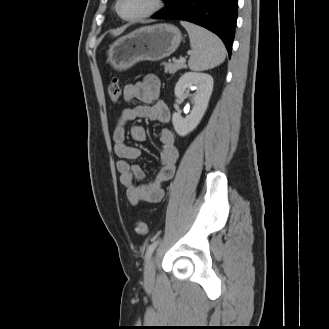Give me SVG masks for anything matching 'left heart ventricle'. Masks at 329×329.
<instances>
[{"instance_id": "b2bd125f", "label": "left heart ventricle", "mask_w": 329, "mask_h": 329, "mask_svg": "<svg viewBox=\"0 0 329 329\" xmlns=\"http://www.w3.org/2000/svg\"><path fill=\"white\" fill-rule=\"evenodd\" d=\"M152 0H121L119 11L123 16L131 17L148 10Z\"/></svg>"}]
</instances>
